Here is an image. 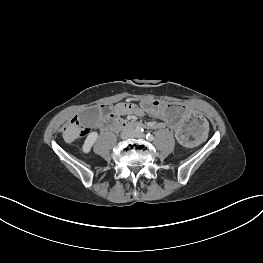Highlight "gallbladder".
Returning <instances> with one entry per match:
<instances>
[{"mask_svg":"<svg viewBox=\"0 0 263 263\" xmlns=\"http://www.w3.org/2000/svg\"><path fill=\"white\" fill-rule=\"evenodd\" d=\"M99 116L100 110L98 107L87 108L80 114L81 121L86 126L96 125L99 121Z\"/></svg>","mask_w":263,"mask_h":263,"instance_id":"obj_1","label":"gallbladder"}]
</instances>
